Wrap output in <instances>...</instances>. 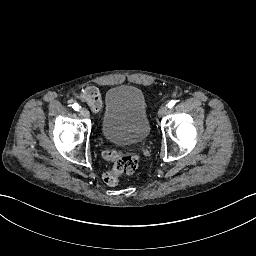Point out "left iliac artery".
<instances>
[{
    "instance_id": "obj_1",
    "label": "left iliac artery",
    "mask_w": 256,
    "mask_h": 256,
    "mask_svg": "<svg viewBox=\"0 0 256 256\" xmlns=\"http://www.w3.org/2000/svg\"><path fill=\"white\" fill-rule=\"evenodd\" d=\"M175 103H176L175 100H171V101L167 104L168 108H172V107L175 105Z\"/></svg>"
}]
</instances>
